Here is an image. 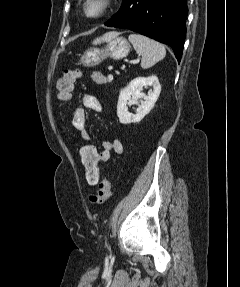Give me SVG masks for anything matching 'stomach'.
<instances>
[{
	"mask_svg": "<svg viewBox=\"0 0 240 287\" xmlns=\"http://www.w3.org/2000/svg\"><path fill=\"white\" fill-rule=\"evenodd\" d=\"M101 43H106V45L102 48H90L85 51L81 56L80 64L85 67H92L108 58L120 60L128 56L131 48L127 39L117 32L105 34L102 38L96 40L94 45H100Z\"/></svg>",
	"mask_w": 240,
	"mask_h": 287,
	"instance_id": "obj_1",
	"label": "stomach"
}]
</instances>
